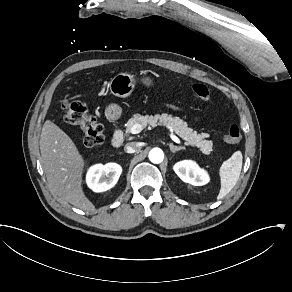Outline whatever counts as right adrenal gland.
<instances>
[{"mask_svg":"<svg viewBox=\"0 0 292 292\" xmlns=\"http://www.w3.org/2000/svg\"><path fill=\"white\" fill-rule=\"evenodd\" d=\"M118 154H119V155H122V154H124V153H123V152H119Z\"/></svg>","mask_w":292,"mask_h":292,"instance_id":"1","label":"right adrenal gland"}]
</instances>
